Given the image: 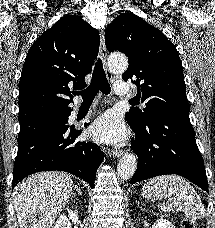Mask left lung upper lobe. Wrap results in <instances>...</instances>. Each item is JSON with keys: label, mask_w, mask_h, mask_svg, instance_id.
I'll return each mask as SVG.
<instances>
[{"label": "left lung upper lobe", "mask_w": 215, "mask_h": 228, "mask_svg": "<svg viewBox=\"0 0 215 228\" xmlns=\"http://www.w3.org/2000/svg\"><path fill=\"white\" fill-rule=\"evenodd\" d=\"M108 51H121L129 60L122 78L138 86L143 110L131 108L125 118L131 127L146 126L156 114L189 113L183 68L176 47L157 28L133 13L117 16L105 31Z\"/></svg>", "instance_id": "1"}]
</instances>
